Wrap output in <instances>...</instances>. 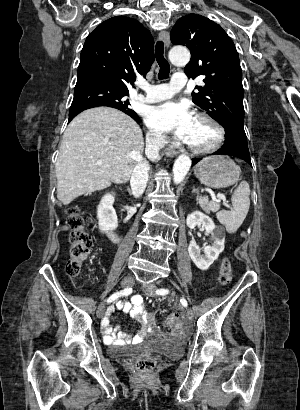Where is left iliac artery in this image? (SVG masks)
<instances>
[{
  "instance_id": "1",
  "label": "left iliac artery",
  "mask_w": 300,
  "mask_h": 410,
  "mask_svg": "<svg viewBox=\"0 0 300 410\" xmlns=\"http://www.w3.org/2000/svg\"><path fill=\"white\" fill-rule=\"evenodd\" d=\"M168 293H169V290H168V289H163V288H161V289H157V290H156V294H158V295L164 296V295H167ZM180 302L182 303V305H183L184 307H187L188 303H187V301H186L184 298H181V299H180Z\"/></svg>"
}]
</instances>
